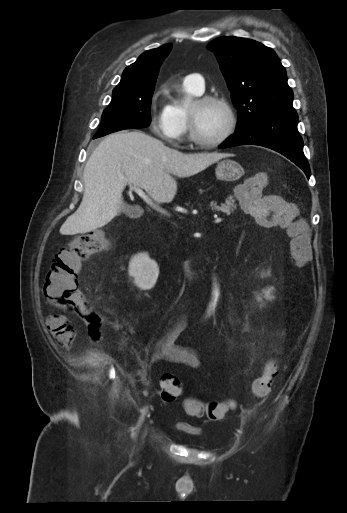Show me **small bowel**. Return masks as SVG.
Returning <instances> with one entry per match:
<instances>
[{"mask_svg": "<svg viewBox=\"0 0 347 513\" xmlns=\"http://www.w3.org/2000/svg\"><path fill=\"white\" fill-rule=\"evenodd\" d=\"M187 317V314H183L170 326L164 338L154 347L150 354L152 361L166 360L190 368H198L200 366V359L193 350L175 343L179 333L186 326ZM46 322L58 346L63 350L71 349L76 336L74 326L65 317L59 315L49 316Z\"/></svg>", "mask_w": 347, "mask_h": 513, "instance_id": "small-bowel-1", "label": "small bowel"}]
</instances>
